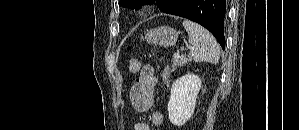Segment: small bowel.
<instances>
[{
	"label": "small bowel",
	"instance_id": "small-bowel-1",
	"mask_svg": "<svg viewBox=\"0 0 299 130\" xmlns=\"http://www.w3.org/2000/svg\"><path fill=\"white\" fill-rule=\"evenodd\" d=\"M158 81L152 65L146 64L140 71L138 80L130 89V99L133 107L138 112L149 111L154 103V92ZM163 121V115L154 111L151 114V122L153 125H160ZM134 130H151L146 122H137L134 124Z\"/></svg>",
	"mask_w": 299,
	"mask_h": 130
}]
</instances>
